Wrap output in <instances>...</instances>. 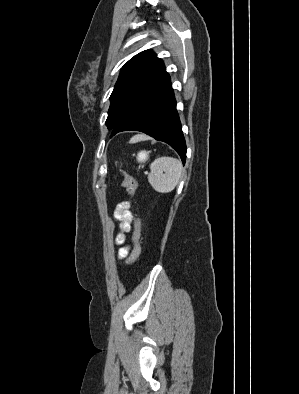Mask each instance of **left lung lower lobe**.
Listing matches in <instances>:
<instances>
[{
    "label": "left lung lower lobe",
    "instance_id": "1",
    "mask_svg": "<svg viewBox=\"0 0 299 394\" xmlns=\"http://www.w3.org/2000/svg\"><path fill=\"white\" fill-rule=\"evenodd\" d=\"M141 131L169 144L186 160V144L176 110V100L167 72L156 79L133 103L112 129L111 137L121 131Z\"/></svg>",
    "mask_w": 299,
    "mask_h": 394
}]
</instances>
